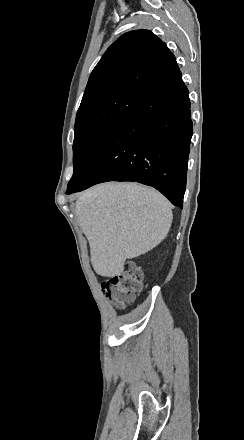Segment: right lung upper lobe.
I'll return each mask as SVG.
<instances>
[{
	"mask_svg": "<svg viewBox=\"0 0 244 440\" xmlns=\"http://www.w3.org/2000/svg\"><path fill=\"white\" fill-rule=\"evenodd\" d=\"M179 70L174 55L148 30L119 37L92 71L81 104L119 94L142 97Z\"/></svg>",
	"mask_w": 244,
	"mask_h": 440,
	"instance_id": "cb5924a9",
	"label": "right lung upper lobe"
}]
</instances>
